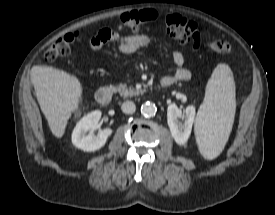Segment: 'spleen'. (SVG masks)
<instances>
[{
	"mask_svg": "<svg viewBox=\"0 0 275 215\" xmlns=\"http://www.w3.org/2000/svg\"><path fill=\"white\" fill-rule=\"evenodd\" d=\"M236 110L235 82L227 64H218L207 82L204 101L196 120V141L202 156L216 158L232 130Z\"/></svg>",
	"mask_w": 275,
	"mask_h": 215,
	"instance_id": "spleen-1",
	"label": "spleen"
}]
</instances>
